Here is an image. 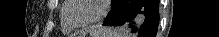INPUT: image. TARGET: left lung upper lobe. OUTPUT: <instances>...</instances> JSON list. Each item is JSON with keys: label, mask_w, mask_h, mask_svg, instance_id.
I'll list each match as a JSON object with an SVG mask.
<instances>
[{"label": "left lung upper lobe", "mask_w": 219, "mask_h": 37, "mask_svg": "<svg viewBox=\"0 0 219 37\" xmlns=\"http://www.w3.org/2000/svg\"><path fill=\"white\" fill-rule=\"evenodd\" d=\"M116 2H117V0H112V5H111L112 8L114 7Z\"/></svg>", "instance_id": "obj_1"}]
</instances>
